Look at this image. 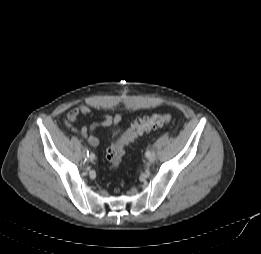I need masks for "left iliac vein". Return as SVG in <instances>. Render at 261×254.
I'll use <instances>...</instances> for the list:
<instances>
[{
    "instance_id": "1",
    "label": "left iliac vein",
    "mask_w": 261,
    "mask_h": 254,
    "mask_svg": "<svg viewBox=\"0 0 261 254\" xmlns=\"http://www.w3.org/2000/svg\"><path fill=\"white\" fill-rule=\"evenodd\" d=\"M150 163H153L156 160V155L154 153L148 158Z\"/></svg>"
}]
</instances>
